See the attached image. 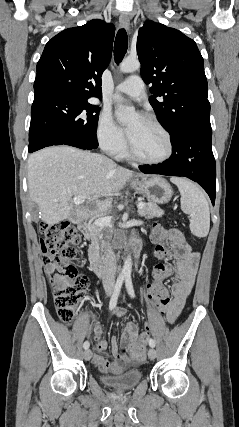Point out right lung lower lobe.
Masks as SVG:
<instances>
[{
	"label": "right lung lower lobe",
	"mask_w": 239,
	"mask_h": 427,
	"mask_svg": "<svg viewBox=\"0 0 239 427\" xmlns=\"http://www.w3.org/2000/svg\"><path fill=\"white\" fill-rule=\"evenodd\" d=\"M51 145H61V144H58V143H55V144H51ZM51 145H49V146H51ZM66 145H70V144H66ZM70 146H74V147H78V148H81V149H93V148H91V147H89V148H87V147H85V146H78V145H70ZM98 146V145H97ZM97 146L95 147V148H97ZM44 147H46V146H44ZM43 147V148H44ZM39 150V149H38ZM30 153H32V152H34V151H37V150H28Z\"/></svg>",
	"instance_id": "1"
}]
</instances>
